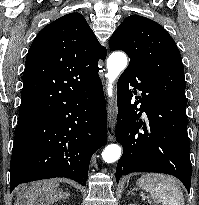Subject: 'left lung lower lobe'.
Listing matches in <instances>:
<instances>
[{
  "label": "left lung lower lobe",
  "instance_id": "left-lung-lower-lobe-1",
  "mask_svg": "<svg viewBox=\"0 0 199 205\" xmlns=\"http://www.w3.org/2000/svg\"><path fill=\"white\" fill-rule=\"evenodd\" d=\"M130 87L142 91L134 103L131 101L136 91ZM117 105L116 140L123 147L116 168L117 183L129 173L158 172L177 177L189 192L192 167L187 102L152 85L141 68L130 61L118 80ZM143 111L147 115L146 122L139 121Z\"/></svg>",
  "mask_w": 199,
  "mask_h": 205
}]
</instances>
